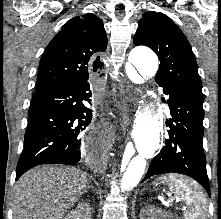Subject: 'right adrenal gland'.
<instances>
[{
  "instance_id": "1",
  "label": "right adrenal gland",
  "mask_w": 221,
  "mask_h": 219,
  "mask_svg": "<svg viewBox=\"0 0 221 219\" xmlns=\"http://www.w3.org/2000/svg\"><path fill=\"white\" fill-rule=\"evenodd\" d=\"M90 188H92V185H90V183H89L86 190H85V192L87 193Z\"/></svg>"
}]
</instances>
